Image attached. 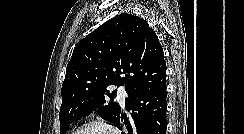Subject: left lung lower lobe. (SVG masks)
<instances>
[{
    "instance_id": "0a47b994",
    "label": "left lung lower lobe",
    "mask_w": 244,
    "mask_h": 134,
    "mask_svg": "<svg viewBox=\"0 0 244 134\" xmlns=\"http://www.w3.org/2000/svg\"><path fill=\"white\" fill-rule=\"evenodd\" d=\"M125 107L128 111L132 110L131 119L128 121L119 115L114 124L118 129H121L124 119L129 134L166 133V84L129 94Z\"/></svg>"
}]
</instances>
